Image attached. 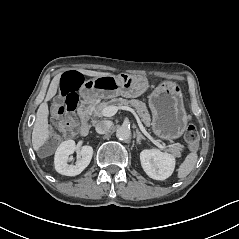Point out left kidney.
Listing matches in <instances>:
<instances>
[{
	"label": "left kidney",
	"instance_id": "5707ae66",
	"mask_svg": "<svg viewBox=\"0 0 239 239\" xmlns=\"http://www.w3.org/2000/svg\"><path fill=\"white\" fill-rule=\"evenodd\" d=\"M140 161L146 174L155 180L167 179L175 168L174 156L158 149L143 150L140 153Z\"/></svg>",
	"mask_w": 239,
	"mask_h": 239
}]
</instances>
